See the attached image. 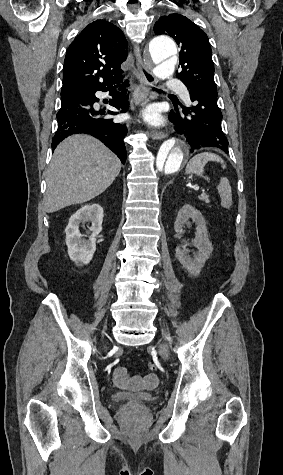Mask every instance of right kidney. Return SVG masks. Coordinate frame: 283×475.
I'll return each mask as SVG.
<instances>
[{"instance_id": "obj_1", "label": "right kidney", "mask_w": 283, "mask_h": 475, "mask_svg": "<svg viewBox=\"0 0 283 475\" xmlns=\"http://www.w3.org/2000/svg\"><path fill=\"white\" fill-rule=\"evenodd\" d=\"M91 222L89 239H84L79 232V224ZM103 208L99 204H86L69 218L65 230L68 255L76 265H86L91 261L96 249V236L102 230ZM84 228V226H83Z\"/></svg>"}]
</instances>
